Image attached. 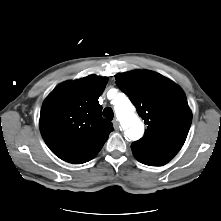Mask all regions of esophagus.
I'll list each match as a JSON object with an SVG mask.
<instances>
[{"mask_svg":"<svg viewBox=\"0 0 221 221\" xmlns=\"http://www.w3.org/2000/svg\"><path fill=\"white\" fill-rule=\"evenodd\" d=\"M113 126L116 130H118L120 128V123L117 119L113 120Z\"/></svg>","mask_w":221,"mask_h":221,"instance_id":"1","label":"esophagus"}]
</instances>
